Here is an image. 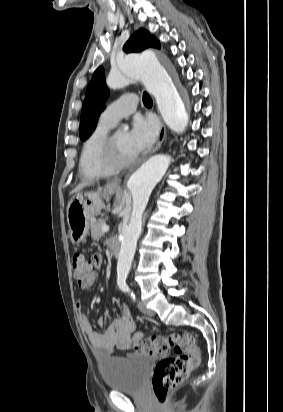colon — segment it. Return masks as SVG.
I'll use <instances>...</instances> for the list:
<instances>
[{"instance_id":"1","label":"colon","mask_w":283,"mask_h":412,"mask_svg":"<svg viewBox=\"0 0 283 412\" xmlns=\"http://www.w3.org/2000/svg\"><path fill=\"white\" fill-rule=\"evenodd\" d=\"M98 262L96 257L86 260L83 255L75 254L72 258L74 278L79 283L87 280ZM138 347L143 356L161 355L170 348L177 353L176 356L163 358L153 373L152 389L160 405L165 404L170 391L188 378L201 359L195 335L191 332L154 336L140 341Z\"/></svg>"}]
</instances>
